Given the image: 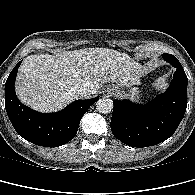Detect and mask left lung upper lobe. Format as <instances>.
I'll return each mask as SVG.
<instances>
[{
	"label": "left lung upper lobe",
	"instance_id": "5c2ea615",
	"mask_svg": "<svg viewBox=\"0 0 195 195\" xmlns=\"http://www.w3.org/2000/svg\"><path fill=\"white\" fill-rule=\"evenodd\" d=\"M162 57L165 61L169 62L172 65H175V64L180 65V62L178 61V59L174 55L164 53V54H162Z\"/></svg>",
	"mask_w": 195,
	"mask_h": 195
}]
</instances>
